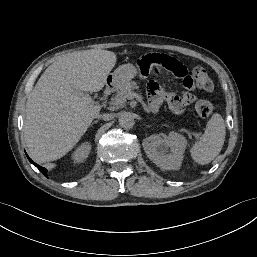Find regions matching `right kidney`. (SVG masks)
<instances>
[{"label": "right kidney", "mask_w": 257, "mask_h": 257, "mask_svg": "<svg viewBox=\"0 0 257 257\" xmlns=\"http://www.w3.org/2000/svg\"><path fill=\"white\" fill-rule=\"evenodd\" d=\"M90 150L91 145L88 142L83 143L73 152L72 159L76 163L83 162L88 157Z\"/></svg>", "instance_id": "1"}]
</instances>
